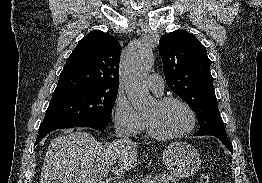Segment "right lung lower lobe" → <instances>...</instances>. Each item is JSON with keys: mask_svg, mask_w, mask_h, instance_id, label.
<instances>
[{"mask_svg": "<svg viewBox=\"0 0 262 183\" xmlns=\"http://www.w3.org/2000/svg\"><path fill=\"white\" fill-rule=\"evenodd\" d=\"M109 124L90 123L86 121H54L49 123H42L38 130L36 143H39L49 132L60 128L72 127H92L96 130H105Z\"/></svg>", "mask_w": 262, "mask_h": 183, "instance_id": "obj_1", "label": "right lung lower lobe"}]
</instances>
